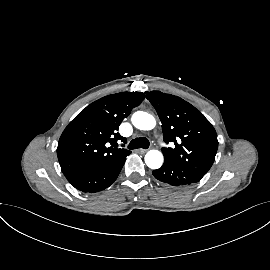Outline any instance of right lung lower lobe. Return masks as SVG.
Returning <instances> with one entry per match:
<instances>
[{
  "mask_svg": "<svg viewBox=\"0 0 270 270\" xmlns=\"http://www.w3.org/2000/svg\"><path fill=\"white\" fill-rule=\"evenodd\" d=\"M127 156H123L106 166L73 174L67 177V180L82 192L93 193L104 190L117 179Z\"/></svg>",
  "mask_w": 270,
  "mask_h": 270,
  "instance_id": "obj_1",
  "label": "right lung lower lobe"
}]
</instances>
